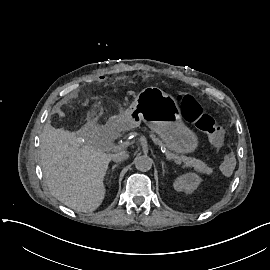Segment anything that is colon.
Segmentation results:
<instances>
[{"label": "colon", "instance_id": "1", "mask_svg": "<svg viewBox=\"0 0 270 270\" xmlns=\"http://www.w3.org/2000/svg\"><path fill=\"white\" fill-rule=\"evenodd\" d=\"M177 104L185 119L192 123L197 129L204 132L211 144L217 148L222 147L225 142V134L221 126L208 114L204 113L196 99L187 93L177 95ZM222 170L231 174L235 170V155L226 151L222 155Z\"/></svg>", "mask_w": 270, "mask_h": 270}]
</instances>
